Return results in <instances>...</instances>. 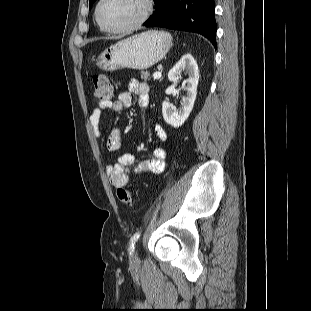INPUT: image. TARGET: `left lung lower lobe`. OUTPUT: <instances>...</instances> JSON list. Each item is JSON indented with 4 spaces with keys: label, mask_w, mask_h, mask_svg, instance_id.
<instances>
[{
    "label": "left lung lower lobe",
    "mask_w": 311,
    "mask_h": 311,
    "mask_svg": "<svg viewBox=\"0 0 311 311\" xmlns=\"http://www.w3.org/2000/svg\"><path fill=\"white\" fill-rule=\"evenodd\" d=\"M154 3L155 12L144 26L198 33L216 47L214 0H154Z\"/></svg>",
    "instance_id": "1"
}]
</instances>
